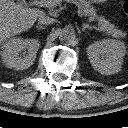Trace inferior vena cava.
Instances as JSON below:
<instances>
[{"mask_svg":"<svg viewBox=\"0 0 128 128\" xmlns=\"http://www.w3.org/2000/svg\"><path fill=\"white\" fill-rule=\"evenodd\" d=\"M54 19L49 17L48 15L42 13L41 15H39L38 18V23L43 24V25H48V24H52L54 23Z\"/></svg>","mask_w":128,"mask_h":128,"instance_id":"602c4592","label":"inferior vena cava"}]
</instances>
